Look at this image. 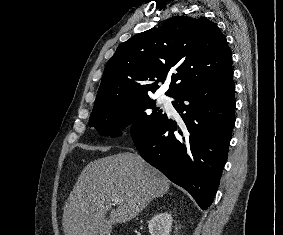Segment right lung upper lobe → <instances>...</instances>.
Listing matches in <instances>:
<instances>
[{
  "label": "right lung upper lobe",
  "mask_w": 283,
  "mask_h": 235,
  "mask_svg": "<svg viewBox=\"0 0 283 235\" xmlns=\"http://www.w3.org/2000/svg\"><path fill=\"white\" fill-rule=\"evenodd\" d=\"M231 64L226 37L215 23L175 16L120 44L106 64L94 106L148 96L166 78V94L174 97L227 76Z\"/></svg>",
  "instance_id": "cb5924a9"
}]
</instances>
